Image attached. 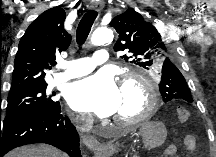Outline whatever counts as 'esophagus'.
Here are the masks:
<instances>
[{"label": "esophagus", "instance_id": "1", "mask_svg": "<svg viewBox=\"0 0 216 157\" xmlns=\"http://www.w3.org/2000/svg\"><path fill=\"white\" fill-rule=\"evenodd\" d=\"M103 8L104 2L102 1L94 2L91 5V9L96 11H101ZM82 140L91 150L102 151L105 149V147L100 142H98V140L92 135H82Z\"/></svg>", "mask_w": 216, "mask_h": 157}]
</instances>
